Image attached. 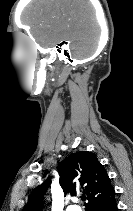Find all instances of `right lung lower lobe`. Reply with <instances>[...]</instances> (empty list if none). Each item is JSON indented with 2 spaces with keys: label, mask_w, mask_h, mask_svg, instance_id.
I'll return each mask as SVG.
<instances>
[{
  "label": "right lung lower lobe",
  "mask_w": 133,
  "mask_h": 211,
  "mask_svg": "<svg viewBox=\"0 0 133 211\" xmlns=\"http://www.w3.org/2000/svg\"><path fill=\"white\" fill-rule=\"evenodd\" d=\"M93 211H118L116 201L109 204L99 205L93 209Z\"/></svg>",
  "instance_id": "right-lung-lower-lobe-1"
}]
</instances>
